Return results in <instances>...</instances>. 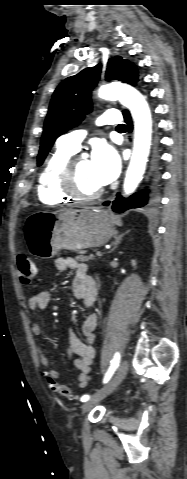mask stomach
<instances>
[{
    "instance_id": "obj_1",
    "label": "stomach",
    "mask_w": 187,
    "mask_h": 479,
    "mask_svg": "<svg viewBox=\"0 0 187 479\" xmlns=\"http://www.w3.org/2000/svg\"><path fill=\"white\" fill-rule=\"evenodd\" d=\"M115 234L111 215L99 207L38 211L24 224L29 252L42 259L52 258L61 249L101 246Z\"/></svg>"
}]
</instances>
